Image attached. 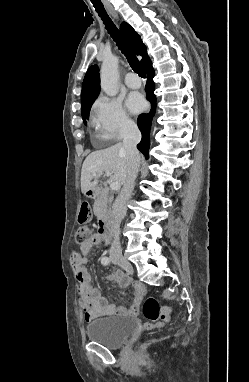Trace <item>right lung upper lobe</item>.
Returning <instances> with one entry per match:
<instances>
[{
  "label": "right lung upper lobe",
  "instance_id": "cb5924a9",
  "mask_svg": "<svg viewBox=\"0 0 249 382\" xmlns=\"http://www.w3.org/2000/svg\"><path fill=\"white\" fill-rule=\"evenodd\" d=\"M120 30L135 54L142 56L141 64L143 66L149 60V57L147 55L146 46L143 44L140 36L126 22L121 24ZM99 81V68L96 65H93L87 70L82 84L81 112H84L89 108L98 97L100 91Z\"/></svg>",
  "mask_w": 249,
  "mask_h": 382
}]
</instances>
